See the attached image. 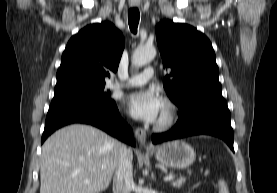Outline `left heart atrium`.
<instances>
[{
    "label": "left heart atrium",
    "instance_id": "1",
    "mask_svg": "<svg viewBox=\"0 0 277 193\" xmlns=\"http://www.w3.org/2000/svg\"><path fill=\"white\" fill-rule=\"evenodd\" d=\"M125 105L133 117L154 123L160 115L164 102L156 92L148 90L128 95L125 99Z\"/></svg>",
    "mask_w": 277,
    "mask_h": 193
}]
</instances>
